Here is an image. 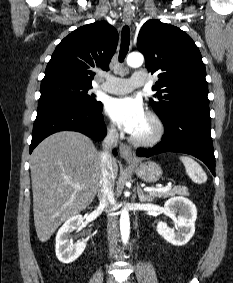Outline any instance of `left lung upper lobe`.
Wrapping results in <instances>:
<instances>
[{"instance_id":"5c2ea615","label":"left lung upper lobe","mask_w":233,"mask_h":283,"mask_svg":"<svg viewBox=\"0 0 233 283\" xmlns=\"http://www.w3.org/2000/svg\"><path fill=\"white\" fill-rule=\"evenodd\" d=\"M137 48L149 72L158 73L150 104L161 119L193 105L209 107L208 84L202 56L181 29L149 20L140 29Z\"/></svg>"}]
</instances>
